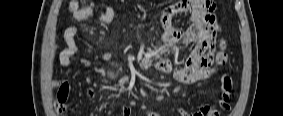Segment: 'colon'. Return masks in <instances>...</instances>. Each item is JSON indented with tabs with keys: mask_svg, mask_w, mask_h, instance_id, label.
I'll use <instances>...</instances> for the list:
<instances>
[{
	"mask_svg": "<svg viewBox=\"0 0 283 116\" xmlns=\"http://www.w3.org/2000/svg\"><path fill=\"white\" fill-rule=\"evenodd\" d=\"M215 61L218 65H224L227 62V53H226V43L224 40L219 41V49L215 56ZM69 99V86L62 85L57 93L56 100L54 102V109L57 113L62 114L66 111L68 107ZM230 102L226 101L223 104L219 105V108H213V110L219 115L222 111L229 110Z\"/></svg>",
	"mask_w": 283,
	"mask_h": 116,
	"instance_id": "5ec220e1",
	"label": "colon"
}]
</instances>
